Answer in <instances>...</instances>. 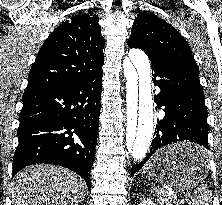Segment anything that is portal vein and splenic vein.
Instances as JSON below:
<instances>
[{
	"label": "portal vein and splenic vein",
	"instance_id": "18ae733b",
	"mask_svg": "<svg viewBox=\"0 0 222 205\" xmlns=\"http://www.w3.org/2000/svg\"><path fill=\"white\" fill-rule=\"evenodd\" d=\"M167 194H168L169 196L176 197L175 191H174L173 189H171V188H168V189H167ZM181 202H182V203H185L184 200H181Z\"/></svg>",
	"mask_w": 222,
	"mask_h": 205
}]
</instances>
